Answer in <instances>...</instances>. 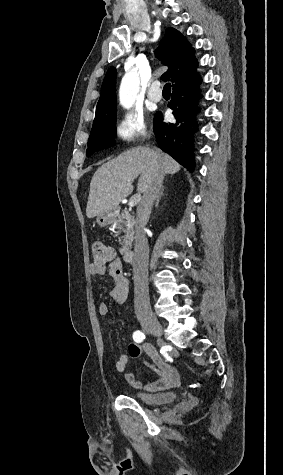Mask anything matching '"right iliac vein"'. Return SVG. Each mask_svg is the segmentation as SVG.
I'll return each mask as SVG.
<instances>
[{
	"instance_id": "1",
	"label": "right iliac vein",
	"mask_w": 283,
	"mask_h": 475,
	"mask_svg": "<svg viewBox=\"0 0 283 475\" xmlns=\"http://www.w3.org/2000/svg\"><path fill=\"white\" fill-rule=\"evenodd\" d=\"M140 322L144 328L154 335H160L163 332L158 318L153 313L143 315Z\"/></svg>"
}]
</instances>
